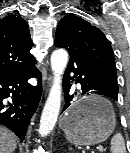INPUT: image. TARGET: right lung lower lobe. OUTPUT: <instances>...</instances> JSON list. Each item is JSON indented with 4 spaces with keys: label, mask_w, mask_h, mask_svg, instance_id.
<instances>
[{
    "label": "right lung lower lobe",
    "mask_w": 130,
    "mask_h": 153,
    "mask_svg": "<svg viewBox=\"0 0 130 153\" xmlns=\"http://www.w3.org/2000/svg\"><path fill=\"white\" fill-rule=\"evenodd\" d=\"M32 77L39 79L37 86L28 83ZM40 79V72L35 66L0 74V124L11 129L21 141L25 138L28 122L41 97ZM6 98H10L11 102L7 103Z\"/></svg>",
    "instance_id": "1"
}]
</instances>
